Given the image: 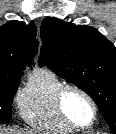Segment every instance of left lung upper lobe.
Wrapping results in <instances>:
<instances>
[{"label": "left lung upper lobe", "instance_id": "left-lung-upper-lobe-1", "mask_svg": "<svg viewBox=\"0 0 116 134\" xmlns=\"http://www.w3.org/2000/svg\"><path fill=\"white\" fill-rule=\"evenodd\" d=\"M39 65L85 91L116 134V48L97 29L53 17L41 24Z\"/></svg>", "mask_w": 116, "mask_h": 134}]
</instances>
